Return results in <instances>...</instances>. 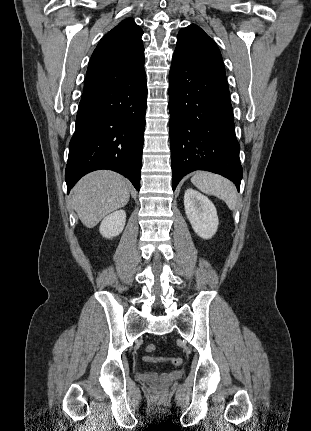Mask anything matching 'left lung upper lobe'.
Segmentation results:
<instances>
[{"instance_id":"5c2ea615","label":"left lung upper lobe","mask_w":311,"mask_h":431,"mask_svg":"<svg viewBox=\"0 0 311 431\" xmlns=\"http://www.w3.org/2000/svg\"><path fill=\"white\" fill-rule=\"evenodd\" d=\"M175 52L212 66L225 69L216 43L199 26L192 24L180 30Z\"/></svg>"}]
</instances>
